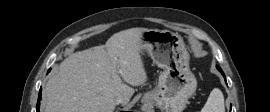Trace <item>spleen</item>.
<instances>
[{"instance_id":"3e777b00","label":"spleen","mask_w":270,"mask_h":112,"mask_svg":"<svg viewBox=\"0 0 270 112\" xmlns=\"http://www.w3.org/2000/svg\"><path fill=\"white\" fill-rule=\"evenodd\" d=\"M200 112H225L224 97L218 88L211 91L206 104Z\"/></svg>"}]
</instances>
